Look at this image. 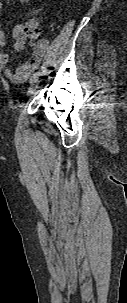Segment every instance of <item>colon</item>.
Returning <instances> with one entry per match:
<instances>
[{"label":"colon","mask_w":127,"mask_h":303,"mask_svg":"<svg viewBox=\"0 0 127 303\" xmlns=\"http://www.w3.org/2000/svg\"><path fill=\"white\" fill-rule=\"evenodd\" d=\"M26 33H28L31 36H35L38 34V28L35 24H29L25 27Z\"/></svg>","instance_id":"colon-1"}]
</instances>
